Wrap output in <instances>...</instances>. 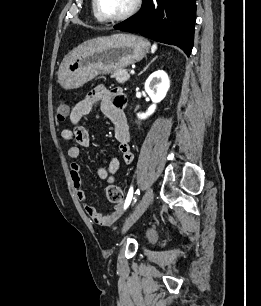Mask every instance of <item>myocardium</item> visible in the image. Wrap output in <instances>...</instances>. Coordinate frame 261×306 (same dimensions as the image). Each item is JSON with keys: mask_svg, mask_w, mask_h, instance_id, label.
I'll list each match as a JSON object with an SVG mask.
<instances>
[{"mask_svg": "<svg viewBox=\"0 0 261 306\" xmlns=\"http://www.w3.org/2000/svg\"><path fill=\"white\" fill-rule=\"evenodd\" d=\"M92 4H93L94 14L100 21L114 23V22H120V21L126 20L130 18L131 16H133L139 10L142 4V0H134L131 8L127 12H125L122 15L115 16V17H108V16L103 15L99 9L98 0H93Z\"/></svg>", "mask_w": 261, "mask_h": 306, "instance_id": "myocardium-1", "label": "myocardium"}]
</instances>
